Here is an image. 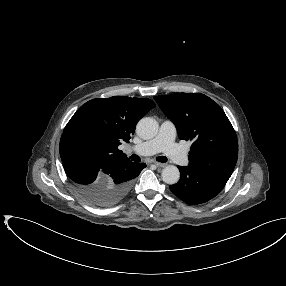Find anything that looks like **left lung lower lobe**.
<instances>
[{"label": "left lung lower lobe", "instance_id": "0a47b994", "mask_svg": "<svg viewBox=\"0 0 286 286\" xmlns=\"http://www.w3.org/2000/svg\"><path fill=\"white\" fill-rule=\"evenodd\" d=\"M180 180L169 186L173 194L188 204H200L215 197L224 188L227 180L190 167L178 166Z\"/></svg>", "mask_w": 286, "mask_h": 286}]
</instances>
